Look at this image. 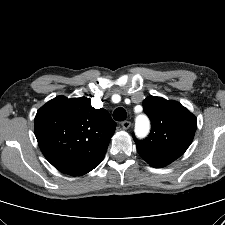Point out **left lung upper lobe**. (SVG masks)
<instances>
[{
	"label": "left lung upper lobe",
	"mask_w": 225,
	"mask_h": 225,
	"mask_svg": "<svg viewBox=\"0 0 225 225\" xmlns=\"http://www.w3.org/2000/svg\"><path fill=\"white\" fill-rule=\"evenodd\" d=\"M152 128L144 140L133 135L140 156L152 167H164L179 158L190 146L197 119L175 101L149 96L143 101Z\"/></svg>",
	"instance_id": "1"
}]
</instances>
